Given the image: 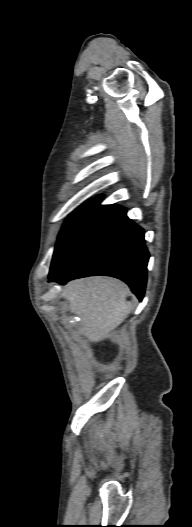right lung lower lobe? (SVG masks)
Wrapping results in <instances>:
<instances>
[{
  "mask_svg": "<svg viewBox=\"0 0 192 527\" xmlns=\"http://www.w3.org/2000/svg\"><path fill=\"white\" fill-rule=\"evenodd\" d=\"M100 197L69 226L55 247L50 282L105 275L126 282L142 300L149 253L144 231L118 205H99Z\"/></svg>",
  "mask_w": 192,
  "mask_h": 527,
  "instance_id": "obj_1",
  "label": "right lung lower lobe"
}]
</instances>
